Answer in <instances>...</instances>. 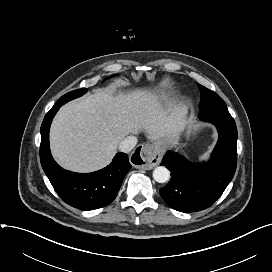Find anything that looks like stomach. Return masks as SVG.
<instances>
[{"mask_svg": "<svg viewBox=\"0 0 272 272\" xmlns=\"http://www.w3.org/2000/svg\"><path fill=\"white\" fill-rule=\"evenodd\" d=\"M179 135L178 133L172 134L168 137H165L163 139L157 140L155 142L156 146L160 149H165L167 147H174L178 144Z\"/></svg>", "mask_w": 272, "mask_h": 272, "instance_id": "obj_1", "label": "stomach"}]
</instances>
